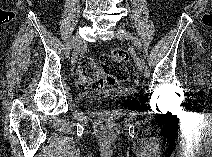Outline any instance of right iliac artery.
Segmentation results:
<instances>
[{
  "label": "right iliac artery",
  "mask_w": 212,
  "mask_h": 157,
  "mask_svg": "<svg viewBox=\"0 0 212 157\" xmlns=\"http://www.w3.org/2000/svg\"><path fill=\"white\" fill-rule=\"evenodd\" d=\"M74 45V36L69 38L67 44H66V47H65V53H66V56L69 57V54H70V51L72 49Z\"/></svg>",
  "instance_id": "82829eb1"
}]
</instances>
